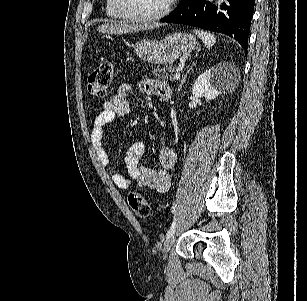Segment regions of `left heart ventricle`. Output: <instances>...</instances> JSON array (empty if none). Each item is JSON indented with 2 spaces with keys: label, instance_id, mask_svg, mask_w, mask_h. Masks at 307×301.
<instances>
[{
  "label": "left heart ventricle",
  "instance_id": "obj_1",
  "mask_svg": "<svg viewBox=\"0 0 307 301\" xmlns=\"http://www.w3.org/2000/svg\"><path fill=\"white\" fill-rule=\"evenodd\" d=\"M123 13H154L160 11L166 0H127L121 1Z\"/></svg>",
  "mask_w": 307,
  "mask_h": 301
}]
</instances>
